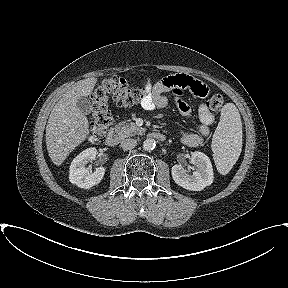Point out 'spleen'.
<instances>
[{
  "mask_svg": "<svg viewBox=\"0 0 288 288\" xmlns=\"http://www.w3.org/2000/svg\"><path fill=\"white\" fill-rule=\"evenodd\" d=\"M211 148L218 172L222 175L228 174L242 151V122L233 103H227L221 109Z\"/></svg>",
  "mask_w": 288,
  "mask_h": 288,
  "instance_id": "obj_1",
  "label": "spleen"
}]
</instances>
